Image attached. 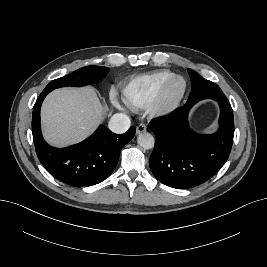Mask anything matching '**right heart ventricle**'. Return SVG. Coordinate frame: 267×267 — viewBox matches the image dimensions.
I'll return each instance as SVG.
<instances>
[{"instance_id": "obj_1", "label": "right heart ventricle", "mask_w": 267, "mask_h": 267, "mask_svg": "<svg viewBox=\"0 0 267 267\" xmlns=\"http://www.w3.org/2000/svg\"><path fill=\"white\" fill-rule=\"evenodd\" d=\"M173 75L171 71L160 70L134 77L122 88L123 102L133 110L146 108L161 85Z\"/></svg>"}]
</instances>
